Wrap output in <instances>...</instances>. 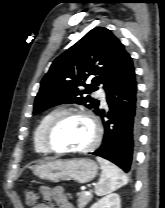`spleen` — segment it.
Instances as JSON below:
<instances>
[{
	"mask_svg": "<svg viewBox=\"0 0 165 208\" xmlns=\"http://www.w3.org/2000/svg\"><path fill=\"white\" fill-rule=\"evenodd\" d=\"M97 161L101 165L102 174L95 186L96 195L109 194L128 183L127 176L119 167L101 157H97Z\"/></svg>",
	"mask_w": 165,
	"mask_h": 208,
	"instance_id": "spleen-1",
	"label": "spleen"
}]
</instances>
